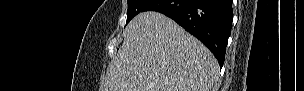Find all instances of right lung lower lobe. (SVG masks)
Listing matches in <instances>:
<instances>
[{"label": "right lung lower lobe", "instance_id": "1", "mask_svg": "<svg viewBox=\"0 0 304 91\" xmlns=\"http://www.w3.org/2000/svg\"><path fill=\"white\" fill-rule=\"evenodd\" d=\"M144 11H157L176 21L223 66L233 20L232 0H151Z\"/></svg>", "mask_w": 304, "mask_h": 91}]
</instances>
